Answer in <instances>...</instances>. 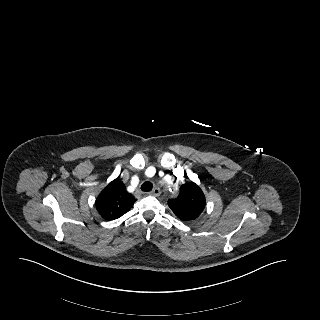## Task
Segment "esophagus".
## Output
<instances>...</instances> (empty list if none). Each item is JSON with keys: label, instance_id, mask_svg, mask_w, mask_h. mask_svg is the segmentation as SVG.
Returning a JSON list of instances; mask_svg holds the SVG:
<instances>
[{"label": "esophagus", "instance_id": "esophagus-1", "mask_svg": "<svg viewBox=\"0 0 320 320\" xmlns=\"http://www.w3.org/2000/svg\"><path fill=\"white\" fill-rule=\"evenodd\" d=\"M149 194L157 197L161 194V191L158 187H154Z\"/></svg>", "mask_w": 320, "mask_h": 320}]
</instances>
